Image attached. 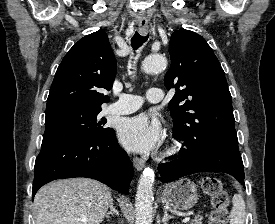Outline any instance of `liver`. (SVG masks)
<instances>
[{"label":"liver","instance_id":"liver-1","mask_svg":"<svg viewBox=\"0 0 275 224\" xmlns=\"http://www.w3.org/2000/svg\"><path fill=\"white\" fill-rule=\"evenodd\" d=\"M112 202L110 189L98 181H54L35 195L36 224H100Z\"/></svg>","mask_w":275,"mask_h":224}]
</instances>
